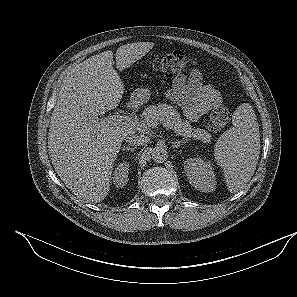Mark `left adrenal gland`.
<instances>
[{
	"mask_svg": "<svg viewBox=\"0 0 297 297\" xmlns=\"http://www.w3.org/2000/svg\"><path fill=\"white\" fill-rule=\"evenodd\" d=\"M184 143H186L185 140L184 141L183 140L182 141L180 140V141L172 142V145H173L174 148H177L178 149Z\"/></svg>",
	"mask_w": 297,
	"mask_h": 297,
	"instance_id": "obj_1",
	"label": "left adrenal gland"
}]
</instances>
